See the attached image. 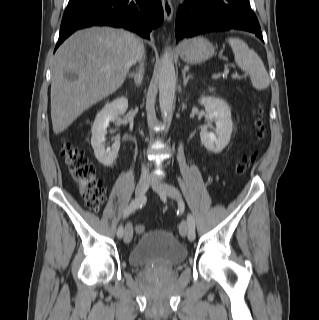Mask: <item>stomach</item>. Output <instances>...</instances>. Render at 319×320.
Masks as SVG:
<instances>
[{"instance_id": "obj_1", "label": "stomach", "mask_w": 319, "mask_h": 320, "mask_svg": "<svg viewBox=\"0 0 319 320\" xmlns=\"http://www.w3.org/2000/svg\"><path fill=\"white\" fill-rule=\"evenodd\" d=\"M215 54L213 44L204 37L185 40L180 47V56L188 64H199Z\"/></svg>"}]
</instances>
